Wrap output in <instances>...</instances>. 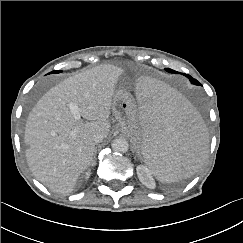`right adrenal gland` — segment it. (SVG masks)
<instances>
[{
  "instance_id": "1",
  "label": "right adrenal gland",
  "mask_w": 243,
  "mask_h": 243,
  "mask_svg": "<svg viewBox=\"0 0 243 243\" xmlns=\"http://www.w3.org/2000/svg\"><path fill=\"white\" fill-rule=\"evenodd\" d=\"M95 153H96V151H95ZM95 160H96V158L94 156V160H93V163H92L93 166L96 164Z\"/></svg>"
}]
</instances>
